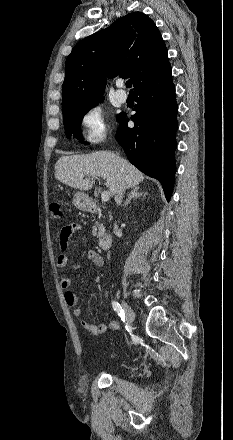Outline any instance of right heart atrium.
I'll return each instance as SVG.
<instances>
[{
	"label": "right heart atrium",
	"instance_id": "right-heart-atrium-1",
	"mask_svg": "<svg viewBox=\"0 0 233 440\" xmlns=\"http://www.w3.org/2000/svg\"><path fill=\"white\" fill-rule=\"evenodd\" d=\"M81 135L89 144L102 142L109 131V125L103 108L98 104L85 108L80 116Z\"/></svg>",
	"mask_w": 233,
	"mask_h": 440
}]
</instances>
